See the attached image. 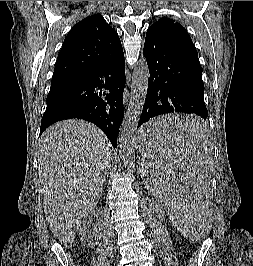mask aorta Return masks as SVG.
<instances>
[{
  "mask_svg": "<svg viewBox=\"0 0 253 266\" xmlns=\"http://www.w3.org/2000/svg\"><path fill=\"white\" fill-rule=\"evenodd\" d=\"M149 77L147 62L139 61L133 69L130 102L118 136L119 156L125 166L133 154L135 133L144 107Z\"/></svg>",
  "mask_w": 253,
  "mask_h": 266,
  "instance_id": "aorta-1",
  "label": "aorta"
}]
</instances>
